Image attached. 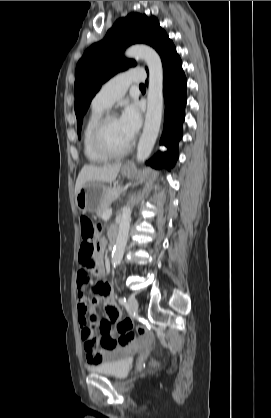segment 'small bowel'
I'll use <instances>...</instances> for the list:
<instances>
[{"instance_id": "c3829d8e", "label": "small bowel", "mask_w": 271, "mask_h": 418, "mask_svg": "<svg viewBox=\"0 0 271 418\" xmlns=\"http://www.w3.org/2000/svg\"><path fill=\"white\" fill-rule=\"evenodd\" d=\"M76 271L78 272V321L88 364L94 366L113 359L142 343V340L134 341L132 338L129 343L123 344L115 338L116 333L121 336L117 326L123 320L121 311L115 304L112 287L102 280L105 275L102 241L98 242L96 249L94 241H87L80 245V249L76 250ZM91 274H94L100 281L94 286L97 296L88 300L87 287L91 282ZM100 300L103 305V318L97 321L93 314L88 318L87 315L94 311ZM96 329L99 331L98 335Z\"/></svg>"}]
</instances>
